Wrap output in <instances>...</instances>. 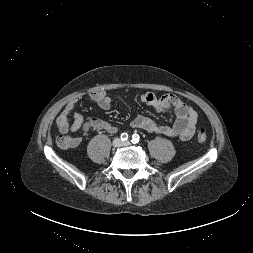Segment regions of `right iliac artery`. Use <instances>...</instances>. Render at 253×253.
Wrapping results in <instances>:
<instances>
[{"label":"right iliac artery","instance_id":"right-iliac-artery-1","mask_svg":"<svg viewBox=\"0 0 253 253\" xmlns=\"http://www.w3.org/2000/svg\"><path fill=\"white\" fill-rule=\"evenodd\" d=\"M120 137H121L122 141H125V140L128 139V134L127 133H122Z\"/></svg>","mask_w":253,"mask_h":253}]
</instances>
